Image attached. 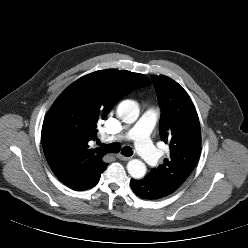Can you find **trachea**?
<instances>
[{
    "label": "trachea",
    "instance_id": "1",
    "mask_svg": "<svg viewBox=\"0 0 248 248\" xmlns=\"http://www.w3.org/2000/svg\"><path fill=\"white\" fill-rule=\"evenodd\" d=\"M102 148L109 153H118L121 150V146L117 142L110 143L107 145H102ZM121 154H123L126 157H130L133 154V151H132L131 147L125 146L122 148Z\"/></svg>",
    "mask_w": 248,
    "mask_h": 248
}]
</instances>
